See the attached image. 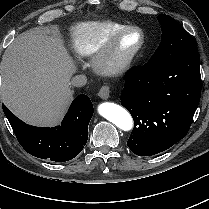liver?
Segmentation results:
<instances>
[{"label":"liver","instance_id":"1","mask_svg":"<svg viewBox=\"0 0 209 209\" xmlns=\"http://www.w3.org/2000/svg\"><path fill=\"white\" fill-rule=\"evenodd\" d=\"M76 66L58 34L34 28L18 35L5 50L1 65V97L22 120L54 126L71 100Z\"/></svg>","mask_w":209,"mask_h":209}]
</instances>
